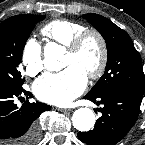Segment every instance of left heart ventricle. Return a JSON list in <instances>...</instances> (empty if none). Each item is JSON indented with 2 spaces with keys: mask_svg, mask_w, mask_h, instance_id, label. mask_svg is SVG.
Instances as JSON below:
<instances>
[{
  "mask_svg": "<svg viewBox=\"0 0 145 145\" xmlns=\"http://www.w3.org/2000/svg\"><path fill=\"white\" fill-rule=\"evenodd\" d=\"M100 61V47L95 38H89L85 41L79 52L65 54L63 68L75 65L79 67L86 75L94 71Z\"/></svg>",
  "mask_w": 145,
  "mask_h": 145,
  "instance_id": "b2bd125f",
  "label": "left heart ventricle"
}]
</instances>
